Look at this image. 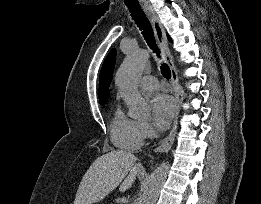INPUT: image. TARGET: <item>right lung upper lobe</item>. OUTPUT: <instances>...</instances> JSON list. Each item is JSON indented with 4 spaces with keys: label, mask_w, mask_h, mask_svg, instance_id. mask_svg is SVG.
<instances>
[{
    "label": "right lung upper lobe",
    "mask_w": 261,
    "mask_h": 204,
    "mask_svg": "<svg viewBox=\"0 0 261 204\" xmlns=\"http://www.w3.org/2000/svg\"><path fill=\"white\" fill-rule=\"evenodd\" d=\"M116 62V49H112L106 57L101 73L98 98L100 102H106L109 96V85L112 80L113 70Z\"/></svg>",
    "instance_id": "1"
}]
</instances>
